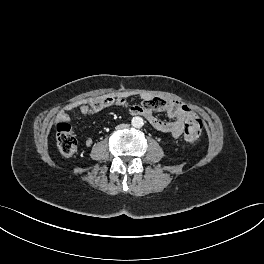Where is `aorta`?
Returning <instances> with one entry per match:
<instances>
[{"mask_svg": "<svg viewBox=\"0 0 264 264\" xmlns=\"http://www.w3.org/2000/svg\"><path fill=\"white\" fill-rule=\"evenodd\" d=\"M131 124L135 128H141L144 125L143 118L139 116L133 117L131 120Z\"/></svg>", "mask_w": 264, "mask_h": 264, "instance_id": "1", "label": "aorta"}]
</instances>
